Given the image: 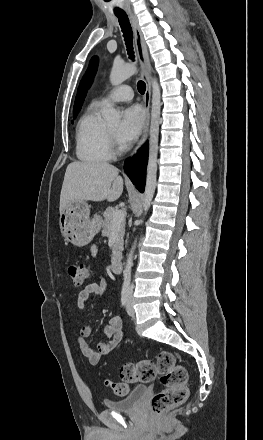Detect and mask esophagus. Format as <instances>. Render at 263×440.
Here are the masks:
<instances>
[{
    "label": "esophagus",
    "instance_id": "obj_1",
    "mask_svg": "<svg viewBox=\"0 0 263 440\" xmlns=\"http://www.w3.org/2000/svg\"><path fill=\"white\" fill-rule=\"evenodd\" d=\"M129 14H130L134 37H135L137 56L141 65L142 75L146 83V90L144 94L145 122L143 126L142 136L140 138L136 150L133 153L135 154L137 150L146 142L148 137L149 122H150V103H151V84L149 80V75L151 73V64L149 60L147 47L141 29L139 27L138 21L131 12H129Z\"/></svg>",
    "mask_w": 263,
    "mask_h": 440
}]
</instances>
